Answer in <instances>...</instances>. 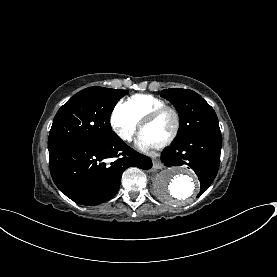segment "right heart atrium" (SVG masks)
Returning a JSON list of instances; mask_svg holds the SVG:
<instances>
[{
	"mask_svg": "<svg viewBox=\"0 0 277 277\" xmlns=\"http://www.w3.org/2000/svg\"><path fill=\"white\" fill-rule=\"evenodd\" d=\"M139 122L121 106L117 107L111 116V125L116 134L124 141H130L138 127Z\"/></svg>",
	"mask_w": 277,
	"mask_h": 277,
	"instance_id": "1",
	"label": "right heart atrium"
}]
</instances>
